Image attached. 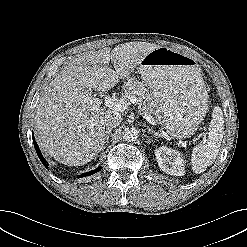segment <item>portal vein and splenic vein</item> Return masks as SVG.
I'll return each instance as SVG.
<instances>
[{"label":"portal vein and splenic vein","instance_id":"obj_1","mask_svg":"<svg viewBox=\"0 0 247 247\" xmlns=\"http://www.w3.org/2000/svg\"><path fill=\"white\" fill-rule=\"evenodd\" d=\"M105 105L107 107H109L110 109H114L116 111L119 112H123L124 110H126L128 108V105L130 103L134 104L135 102H137V98L135 96H130L128 98H122L120 100L114 98V97H110L107 96L105 97ZM99 105H101L100 99L95 98V107H98ZM144 118L152 125L155 124L154 119L152 118V116L148 115V114H144Z\"/></svg>","mask_w":247,"mask_h":247}]
</instances>
